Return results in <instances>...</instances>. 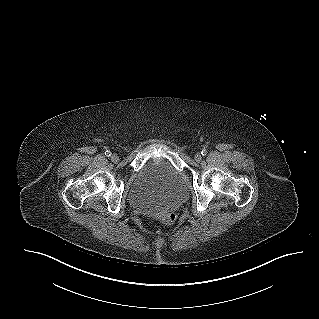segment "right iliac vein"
Returning a JSON list of instances; mask_svg holds the SVG:
<instances>
[{"label": "right iliac vein", "instance_id": "63e3f726", "mask_svg": "<svg viewBox=\"0 0 319 319\" xmlns=\"http://www.w3.org/2000/svg\"><path fill=\"white\" fill-rule=\"evenodd\" d=\"M111 160H112L113 162H118V161H119V156H118L117 154H112V155H111Z\"/></svg>", "mask_w": 319, "mask_h": 319}]
</instances>
